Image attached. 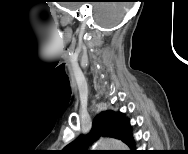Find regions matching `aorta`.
<instances>
[{
	"label": "aorta",
	"mask_w": 188,
	"mask_h": 154,
	"mask_svg": "<svg viewBox=\"0 0 188 154\" xmlns=\"http://www.w3.org/2000/svg\"><path fill=\"white\" fill-rule=\"evenodd\" d=\"M98 150H125L126 145L117 139H100L95 143Z\"/></svg>",
	"instance_id": "aorta-1"
}]
</instances>
